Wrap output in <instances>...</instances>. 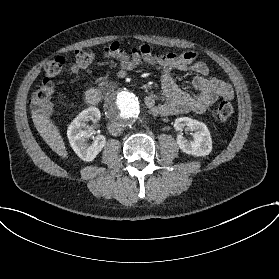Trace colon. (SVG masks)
<instances>
[{
    "mask_svg": "<svg viewBox=\"0 0 279 279\" xmlns=\"http://www.w3.org/2000/svg\"><path fill=\"white\" fill-rule=\"evenodd\" d=\"M94 60V55L86 50H79L76 52L71 71L77 73L85 70L91 65ZM65 63L62 59H52L44 66V74L47 82L43 83L35 90L30 98V105L36 111L42 113H49L53 107L54 87L49 80L60 77L64 73ZM233 113V106L229 101H221L217 106L216 119L219 121L228 120Z\"/></svg>",
    "mask_w": 279,
    "mask_h": 279,
    "instance_id": "obj_1",
    "label": "colon"
}]
</instances>
